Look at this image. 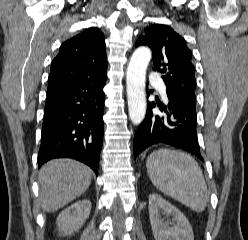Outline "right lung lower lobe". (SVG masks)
I'll use <instances>...</instances> for the list:
<instances>
[{"label":"right lung lower lobe","instance_id":"98d812e1","mask_svg":"<svg viewBox=\"0 0 248 240\" xmlns=\"http://www.w3.org/2000/svg\"><path fill=\"white\" fill-rule=\"evenodd\" d=\"M106 75L47 92L38 165L69 157L97 174L103 142ZM98 175V174H97Z\"/></svg>","mask_w":248,"mask_h":240}]
</instances>
